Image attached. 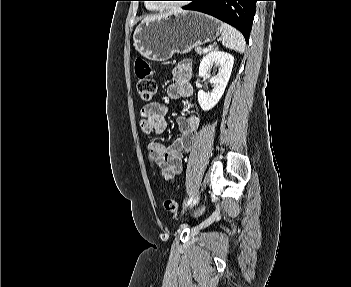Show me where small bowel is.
<instances>
[{
  "mask_svg": "<svg viewBox=\"0 0 351 287\" xmlns=\"http://www.w3.org/2000/svg\"><path fill=\"white\" fill-rule=\"evenodd\" d=\"M192 71L188 64H181L173 69L175 82L168 87L167 94L171 99H187L193 95L190 83ZM166 106L153 102L141 110L140 129L144 134H161L167 127L165 120ZM180 135L169 146L158 141L148 144L149 160L166 181H173L181 172L183 153L189 152L195 145V134L200 125L198 116L191 113L177 119Z\"/></svg>",
  "mask_w": 351,
  "mask_h": 287,
  "instance_id": "small-bowel-1",
  "label": "small bowel"
}]
</instances>
